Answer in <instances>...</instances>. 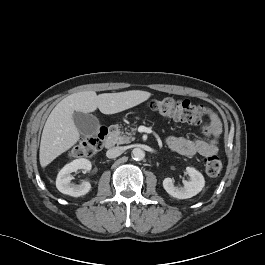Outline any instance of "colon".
Masks as SVG:
<instances>
[{
	"label": "colon",
	"mask_w": 265,
	"mask_h": 265,
	"mask_svg": "<svg viewBox=\"0 0 265 265\" xmlns=\"http://www.w3.org/2000/svg\"><path fill=\"white\" fill-rule=\"evenodd\" d=\"M152 111L168 118H173L182 122L199 125L207 116L204 107L193 104L189 101L175 100L173 98L156 99L150 102ZM107 129L102 127L96 135L79 142L73 149L75 157H86L96 153L104 138L107 136ZM206 172L209 176H217L222 170V160L212 154L205 161Z\"/></svg>",
	"instance_id": "colon-1"
}]
</instances>
